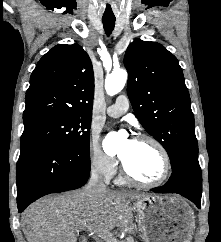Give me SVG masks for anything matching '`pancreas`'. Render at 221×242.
<instances>
[{"instance_id":"1","label":"pancreas","mask_w":221,"mask_h":242,"mask_svg":"<svg viewBox=\"0 0 221 242\" xmlns=\"http://www.w3.org/2000/svg\"><path fill=\"white\" fill-rule=\"evenodd\" d=\"M122 242H134V239L132 237H128L125 241Z\"/></svg>"}]
</instances>
